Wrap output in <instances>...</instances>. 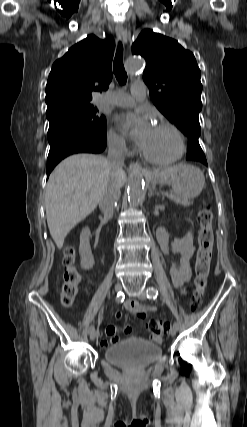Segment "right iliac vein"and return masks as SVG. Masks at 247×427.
<instances>
[{"label":"right iliac vein","instance_id":"obj_1","mask_svg":"<svg viewBox=\"0 0 247 427\" xmlns=\"http://www.w3.org/2000/svg\"><path fill=\"white\" fill-rule=\"evenodd\" d=\"M121 289H122V284L120 282H117L115 284V291L119 292ZM97 335H98V332L95 329H93L91 332H89L90 340L92 341L95 340Z\"/></svg>","mask_w":247,"mask_h":427}]
</instances>
